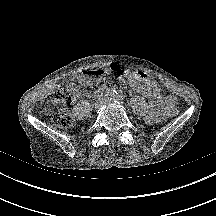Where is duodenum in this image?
Wrapping results in <instances>:
<instances>
[{"label": "duodenum", "instance_id": "obj_1", "mask_svg": "<svg viewBox=\"0 0 216 216\" xmlns=\"http://www.w3.org/2000/svg\"><path fill=\"white\" fill-rule=\"evenodd\" d=\"M105 91H106V89L101 88V89L98 90V93L100 94V93H103V92H105Z\"/></svg>", "mask_w": 216, "mask_h": 216}]
</instances>
